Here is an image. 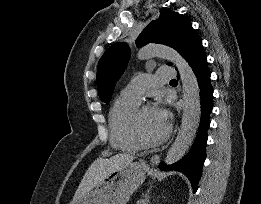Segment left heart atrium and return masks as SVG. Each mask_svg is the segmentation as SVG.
Returning a JSON list of instances; mask_svg holds the SVG:
<instances>
[{
  "label": "left heart atrium",
  "mask_w": 261,
  "mask_h": 204,
  "mask_svg": "<svg viewBox=\"0 0 261 204\" xmlns=\"http://www.w3.org/2000/svg\"><path fill=\"white\" fill-rule=\"evenodd\" d=\"M154 109L156 110L161 121L167 124L168 114H167L166 110L164 109V107L160 104H157L156 106H154Z\"/></svg>",
  "instance_id": "left-heart-atrium-1"
}]
</instances>
